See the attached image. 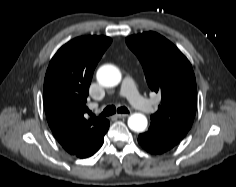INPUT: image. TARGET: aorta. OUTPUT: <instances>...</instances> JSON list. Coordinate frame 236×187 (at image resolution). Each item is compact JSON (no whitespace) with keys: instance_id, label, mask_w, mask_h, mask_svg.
Segmentation results:
<instances>
[{"instance_id":"aorta-1","label":"aorta","mask_w":236,"mask_h":187,"mask_svg":"<svg viewBox=\"0 0 236 187\" xmlns=\"http://www.w3.org/2000/svg\"><path fill=\"white\" fill-rule=\"evenodd\" d=\"M97 81L104 87L117 86L122 75L120 70L111 64L101 66L96 74ZM148 121L145 115L141 113H134L128 118V126L134 132H143L147 127Z\"/></svg>"}]
</instances>
